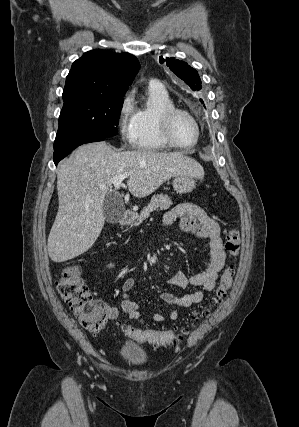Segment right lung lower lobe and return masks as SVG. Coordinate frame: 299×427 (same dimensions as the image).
Listing matches in <instances>:
<instances>
[{
  "instance_id": "98d812e1",
  "label": "right lung lower lobe",
  "mask_w": 299,
  "mask_h": 427,
  "mask_svg": "<svg viewBox=\"0 0 299 427\" xmlns=\"http://www.w3.org/2000/svg\"><path fill=\"white\" fill-rule=\"evenodd\" d=\"M103 140L104 139H79L71 143L61 145L57 148H54L53 161L55 165H57L60 160L66 157L76 147L85 143L97 142V141H103Z\"/></svg>"
}]
</instances>
